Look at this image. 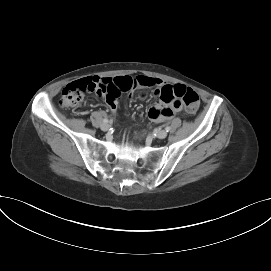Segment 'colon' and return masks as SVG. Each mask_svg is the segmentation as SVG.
Wrapping results in <instances>:
<instances>
[{"label": "colon", "mask_w": 271, "mask_h": 271, "mask_svg": "<svg viewBox=\"0 0 271 271\" xmlns=\"http://www.w3.org/2000/svg\"><path fill=\"white\" fill-rule=\"evenodd\" d=\"M130 78V77H128ZM116 78L115 80H118ZM132 80V78H130ZM98 81L91 79H81L68 84L62 91L59 104L63 108L80 110L84 105V96L87 92L101 95L97 90ZM134 88V87H133ZM161 97L166 102L177 100L183 103L189 112H195L199 105L198 93L183 85L166 86L162 88Z\"/></svg>", "instance_id": "obj_1"}]
</instances>
